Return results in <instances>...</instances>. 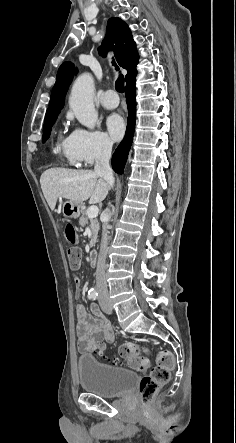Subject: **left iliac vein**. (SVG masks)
Here are the masks:
<instances>
[{
  "mask_svg": "<svg viewBox=\"0 0 236 443\" xmlns=\"http://www.w3.org/2000/svg\"><path fill=\"white\" fill-rule=\"evenodd\" d=\"M102 310L104 311V313L106 314H112L113 309L110 305H102Z\"/></svg>",
  "mask_w": 236,
  "mask_h": 443,
  "instance_id": "obj_1",
  "label": "left iliac vein"
}]
</instances>
